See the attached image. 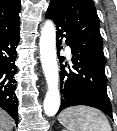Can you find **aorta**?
<instances>
[{"label": "aorta", "mask_w": 117, "mask_h": 131, "mask_svg": "<svg viewBox=\"0 0 117 131\" xmlns=\"http://www.w3.org/2000/svg\"><path fill=\"white\" fill-rule=\"evenodd\" d=\"M39 47L41 64L48 85L43 107L45 114L51 117L57 113L61 102L56 55V29L51 20H47L41 29Z\"/></svg>", "instance_id": "762f6f07"}]
</instances>
